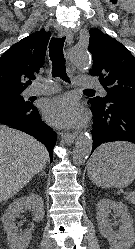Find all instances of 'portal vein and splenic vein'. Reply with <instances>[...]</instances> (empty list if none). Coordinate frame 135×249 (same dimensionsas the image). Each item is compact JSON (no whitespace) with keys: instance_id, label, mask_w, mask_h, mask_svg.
I'll use <instances>...</instances> for the list:
<instances>
[{"instance_id":"18ae733b","label":"portal vein and splenic vein","mask_w":135,"mask_h":249,"mask_svg":"<svg viewBox=\"0 0 135 249\" xmlns=\"http://www.w3.org/2000/svg\"><path fill=\"white\" fill-rule=\"evenodd\" d=\"M124 194H126L127 196L134 195V193H132V192H124Z\"/></svg>"}]
</instances>
